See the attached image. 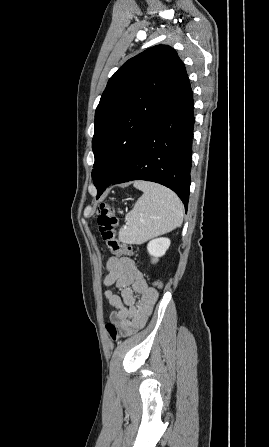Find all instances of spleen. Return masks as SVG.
<instances>
[{"label": "spleen", "instance_id": "obj_1", "mask_svg": "<svg viewBox=\"0 0 269 447\" xmlns=\"http://www.w3.org/2000/svg\"><path fill=\"white\" fill-rule=\"evenodd\" d=\"M134 188L144 192L133 210L126 214V227L119 229L118 237L123 243H144L151 237L163 235L180 227L183 222V204L178 196L153 182L137 180Z\"/></svg>", "mask_w": 269, "mask_h": 447}]
</instances>
